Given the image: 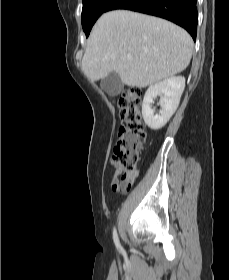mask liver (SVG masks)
Here are the masks:
<instances>
[{
    "instance_id": "obj_1",
    "label": "liver",
    "mask_w": 229,
    "mask_h": 280,
    "mask_svg": "<svg viewBox=\"0 0 229 280\" xmlns=\"http://www.w3.org/2000/svg\"><path fill=\"white\" fill-rule=\"evenodd\" d=\"M192 51L193 40L181 27L157 17L116 10L103 14L94 25L82 69L91 82L115 72L125 85L143 88L185 70Z\"/></svg>"
}]
</instances>
